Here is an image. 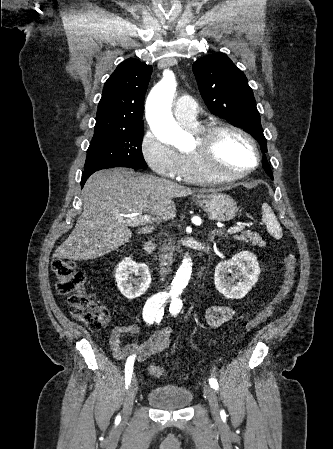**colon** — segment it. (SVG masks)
Returning <instances> with one entry per match:
<instances>
[{
	"mask_svg": "<svg viewBox=\"0 0 333 449\" xmlns=\"http://www.w3.org/2000/svg\"><path fill=\"white\" fill-rule=\"evenodd\" d=\"M297 259L292 253L283 257V282L275 297L266 303L261 309L250 314L243 321L245 332H251L264 323L273 313L275 307L280 304L291 292L296 274ZM51 269L56 276V288L62 295H69L68 303L72 315L83 322L90 330L99 331L108 324L110 313L107 307L99 304L94 295L85 288V277L77 270L74 262L56 258L52 261ZM151 375L159 377L164 374V369L153 364L149 366Z\"/></svg>",
	"mask_w": 333,
	"mask_h": 449,
	"instance_id": "colon-1",
	"label": "colon"
}]
</instances>
